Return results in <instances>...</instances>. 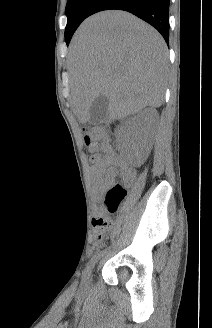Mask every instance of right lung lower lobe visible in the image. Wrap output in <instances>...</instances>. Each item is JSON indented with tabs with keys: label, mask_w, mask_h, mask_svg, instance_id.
Segmentation results:
<instances>
[{
	"label": "right lung lower lobe",
	"mask_w": 212,
	"mask_h": 328,
	"mask_svg": "<svg viewBox=\"0 0 212 328\" xmlns=\"http://www.w3.org/2000/svg\"><path fill=\"white\" fill-rule=\"evenodd\" d=\"M170 0H96L88 16L104 10H124L155 27L168 43Z\"/></svg>",
	"instance_id": "1"
}]
</instances>
